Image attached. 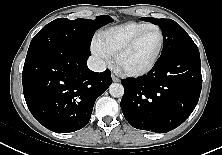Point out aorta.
<instances>
[{
  "instance_id": "aorta-1",
  "label": "aorta",
  "mask_w": 222,
  "mask_h": 155,
  "mask_svg": "<svg viewBox=\"0 0 222 155\" xmlns=\"http://www.w3.org/2000/svg\"><path fill=\"white\" fill-rule=\"evenodd\" d=\"M109 93L112 97L119 98L124 94V87L120 83H113L109 87Z\"/></svg>"
}]
</instances>
